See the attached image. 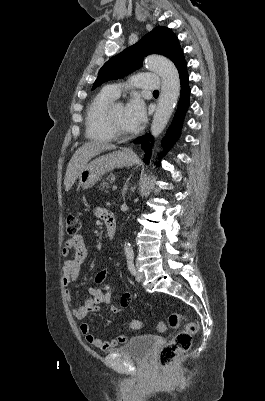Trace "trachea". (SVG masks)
<instances>
[{"instance_id": "trachea-1", "label": "trachea", "mask_w": 265, "mask_h": 401, "mask_svg": "<svg viewBox=\"0 0 265 401\" xmlns=\"http://www.w3.org/2000/svg\"><path fill=\"white\" fill-rule=\"evenodd\" d=\"M153 93H159V91L158 90H154V92Z\"/></svg>"}]
</instances>
